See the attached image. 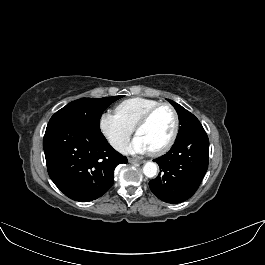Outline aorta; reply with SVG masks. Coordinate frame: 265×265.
<instances>
[{"label": "aorta", "mask_w": 265, "mask_h": 265, "mask_svg": "<svg viewBox=\"0 0 265 265\" xmlns=\"http://www.w3.org/2000/svg\"><path fill=\"white\" fill-rule=\"evenodd\" d=\"M157 165L154 162H146L143 166V173L145 176L152 178L157 174Z\"/></svg>", "instance_id": "obj_1"}]
</instances>
